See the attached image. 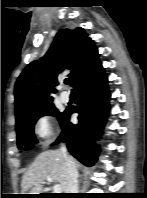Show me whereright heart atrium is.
Listing matches in <instances>:
<instances>
[{"mask_svg": "<svg viewBox=\"0 0 147 198\" xmlns=\"http://www.w3.org/2000/svg\"><path fill=\"white\" fill-rule=\"evenodd\" d=\"M33 132L39 145H47L56 138V130L51 115L38 116L33 125Z\"/></svg>", "mask_w": 147, "mask_h": 198, "instance_id": "right-heart-atrium-1", "label": "right heart atrium"}]
</instances>
